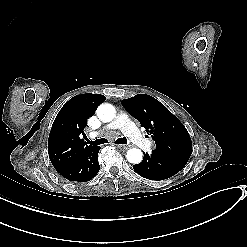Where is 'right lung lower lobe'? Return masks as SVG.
I'll return each mask as SVG.
<instances>
[{
	"instance_id": "1",
	"label": "right lung lower lobe",
	"mask_w": 247,
	"mask_h": 247,
	"mask_svg": "<svg viewBox=\"0 0 247 247\" xmlns=\"http://www.w3.org/2000/svg\"><path fill=\"white\" fill-rule=\"evenodd\" d=\"M99 150L100 147H89L71 164L57 172L69 181L82 183L91 180L100 169L98 163Z\"/></svg>"
}]
</instances>
